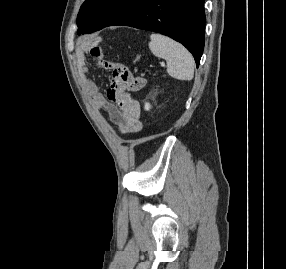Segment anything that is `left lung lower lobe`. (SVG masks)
<instances>
[{"label": "left lung lower lobe", "instance_id": "0a47b994", "mask_svg": "<svg viewBox=\"0 0 286 269\" xmlns=\"http://www.w3.org/2000/svg\"><path fill=\"white\" fill-rule=\"evenodd\" d=\"M130 26L155 31L182 43L197 67L204 48V0H143L109 26Z\"/></svg>", "mask_w": 286, "mask_h": 269}]
</instances>
